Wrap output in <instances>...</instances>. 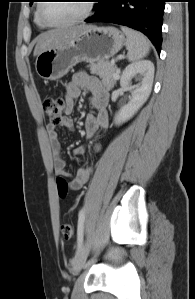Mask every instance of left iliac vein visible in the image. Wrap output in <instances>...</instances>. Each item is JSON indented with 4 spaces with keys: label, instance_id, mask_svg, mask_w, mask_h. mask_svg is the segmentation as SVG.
I'll list each match as a JSON object with an SVG mask.
<instances>
[{
    "label": "left iliac vein",
    "instance_id": "obj_1",
    "mask_svg": "<svg viewBox=\"0 0 195 299\" xmlns=\"http://www.w3.org/2000/svg\"><path fill=\"white\" fill-rule=\"evenodd\" d=\"M89 248H90V243L89 241H85L84 244L81 246L79 251L77 252L74 262H73V272L78 273L82 267L84 266L86 259L88 257L89 253Z\"/></svg>",
    "mask_w": 195,
    "mask_h": 299
}]
</instances>
